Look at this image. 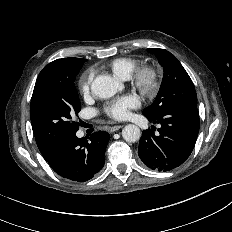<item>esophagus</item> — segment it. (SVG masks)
Instances as JSON below:
<instances>
[{"mask_svg": "<svg viewBox=\"0 0 232 232\" xmlns=\"http://www.w3.org/2000/svg\"><path fill=\"white\" fill-rule=\"evenodd\" d=\"M123 125H116L110 128V132H116L117 130L121 129Z\"/></svg>", "mask_w": 232, "mask_h": 232, "instance_id": "esophagus-1", "label": "esophagus"}]
</instances>
